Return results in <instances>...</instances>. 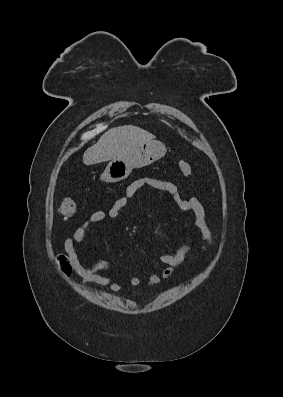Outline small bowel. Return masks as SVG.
I'll return each mask as SVG.
<instances>
[{
	"instance_id": "obj_1",
	"label": "small bowel",
	"mask_w": 283,
	"mask_h": 397,
	"mask_svg": "<svg viewBox=\"0 0 283 397\" xmlns=\"http://www.w3.org/2000/svg\"><path fill=\"white\" fill-rule=\"evenodd\" d=\"M145 187L155 188L166 191L170 194L177 207L184 213L190 214L195 218V225L201 233L204 244L201 251H204L211 243V233L206 222L205 210L202 204L196 198L184 199L178 187L169 181L159 180L143 176L134 180L126 189L123 196L118 198L107 210H101L90 215L82 224H80L74 233L64 241V250L72 264L77 275L80 276L82 284L95 283L101 286H108L112 291L119 292L122 286L111 276L103 275L101 272L111 267L107 260H100L89 268L82 266L76 251V245L82 244L85 240L88 229L95 223L115 219L119 216L122 209L128 201L133 198L141 189ZM193 235L188 232L183 244L173 253L160 256V261L165 265L159 274H151L146 285L153 287L173 275L174 269L180 265L186 255L192 248ZM132 286H140L141 279L138 276L130 278Z\"/></svg>"
}]
</instances>
